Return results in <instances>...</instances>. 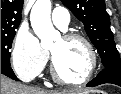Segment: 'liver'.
I'll list each match as a JSON object with an SVG mask.
<instances>
[{
    "instance_id": "1",
    "label": "liver",
    "mask_w": 121,
    "mask_h": 94,
    "mask_svg": "<svg viewBox=\"0 0 121 94\" xmlns=\"http://www.w3.org/2000/svg\"><path fill=\"white\" fill-rule=\"evenodd\" d=\"M79 90L50 91L22 85L1 74V94H80Z\"/></svg>"
}]
</instances>
